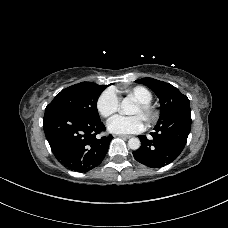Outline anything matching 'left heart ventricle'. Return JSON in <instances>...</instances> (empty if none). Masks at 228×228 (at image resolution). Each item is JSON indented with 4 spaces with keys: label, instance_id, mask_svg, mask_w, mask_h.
Instances as JSON below:
<instances>
[{
    "label": "left heart ventricle",
    "instance_id": "1",
    "mask_svg": "<svg viewBox=\"0 0 228 228\" xmlns=\"http://www.w3.org/2000/svg\"><path fill=\"white\" fill-rule=\"evenodd\" d=\"M131 114H132V115H139V116L142 117V119L144 120V115H143V113L141 112V110H140L136 105H134V107L132 108Z\"/></svg>",
    "mask_w": 228,
    "mask_h": 228
}]
</instances>
